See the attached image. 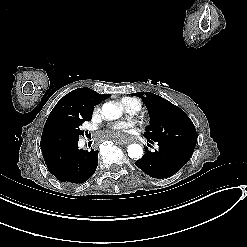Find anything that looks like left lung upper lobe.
<instances>
[{"mask_svg": "<svg viewBox=\"0 0 247 247\" xmlns=\"http://www.w3.org/2000/svg\"><path fill=\"white\" fill-rule=\"evenodd\" d=\"M132 95L142 98L150 116V125L144 136L149 142L168 143L194 150L196 129L186 113L168 100L151 92Z\"/></svg>", "mask_w": 247, "mask_h": 247, "instance_id": "left-lung-upper-lobe-1", "label": "left lung upper lobe"}]
</instances>
